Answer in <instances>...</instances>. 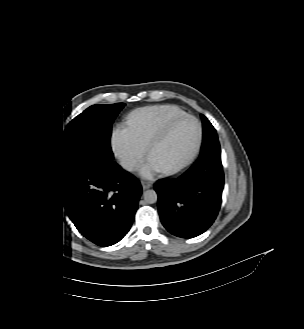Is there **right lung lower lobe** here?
<instances>
[{"mask_svg":"<svg viewBox=\"0 0 304 329\" xmlns=\"http://www.w3.org/2000/svg\"><path fill=\"white\" fill-rule=\"evenodd\" d=\"M65 209L87 239L99 246L129 231L142 193L140 182L118 164H77L58 171Z\"/></svg>","mask_w":304,"mask_h":329,"instance_id":"98d812e1","label":"right lung lower lobe"}]
</instances>
